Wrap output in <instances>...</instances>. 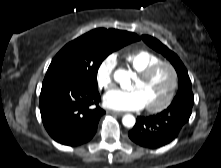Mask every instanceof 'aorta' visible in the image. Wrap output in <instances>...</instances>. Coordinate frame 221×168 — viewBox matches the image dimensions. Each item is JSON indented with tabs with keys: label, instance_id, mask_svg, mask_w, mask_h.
Returning <instances> with one entry per match:
<instances>
[{
	"label": "aorta",
	"instance_id": "aorta-1",
	"mask_svg": "<svg viewBox=\"0 0 221 168\" xmlns=\"http://www.w3.org/2000/svg\"><path fill=\"white\" fill-rule=\"evenodd\" d=\"M126 77V72L123 70H119L116 74V80L121 84L123 79ZM135 117L131 114H126L122 118V123L125 127L131 128L135 125Z\"/></svg>",
	"mask_w": 221,
	"mask_h": 168
}]
</instances>
